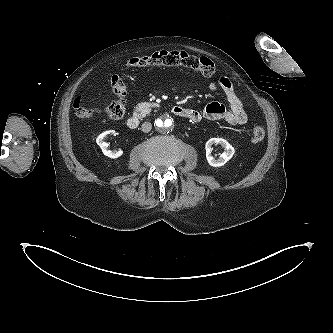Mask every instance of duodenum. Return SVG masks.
I'll list each match as a JSON object with an SVG mask.
<instances>
[{"label":"duodenum","instance_id":"duodenum-1","mask_svg":"<svg viewBox=\"0 0 333 333\" xmlns=\"http://www.w3.org/2000/svg\"><path fill=\"white\" fill-rule=\"evenodd\" d=\"M172 112L177 115V116H184L185 113H186V110L184 107L182 106H174L172 108ZM127 126L130 128V129H136L139 124H140V117L136 114L134 115H131L128 119H127Z\"/></svg>","mask_w":333,"mask_h":333}]
</instances>
